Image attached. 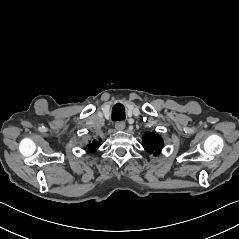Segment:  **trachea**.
<instances>
[{
  "label": "trachea",
  "mask_w": 239,
  "mask_h": 239,
  "mask_svg": "<svg viewBox=\"0 0 239 239\" xmlns=\"http://www.w3.org/2000/svg\"><path fill=\"white\" fill-rule=\"evenodd\" d=\"M124 119H125L124 106L120 103L115 104L112 109V120L113 121H122Z\"/></svg>",
  "instance_id": "1"
}]
</instances>
